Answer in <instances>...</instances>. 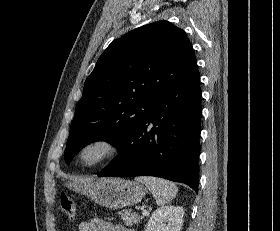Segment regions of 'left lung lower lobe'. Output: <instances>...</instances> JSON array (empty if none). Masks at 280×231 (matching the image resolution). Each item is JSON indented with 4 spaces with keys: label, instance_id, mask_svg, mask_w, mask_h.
<instances>
[{
    "label": "left lung lower lobe",
    "instance_id": "1",
    "mask_svg": "<svg viewBox=\"0 0 280 231\" xmlns=\"http://www.w3.org/2000/svg\"><path fill=\"white\" fill-rule=\"evenodd\" d=\"M201 95L196 70L153 104L98 176L161 177L185 183L198 193ZM150 122L155 127L147 131Z\"/></svg>",
    "mask_w": 280,
    "mask_h": 231
}]
</instances>
